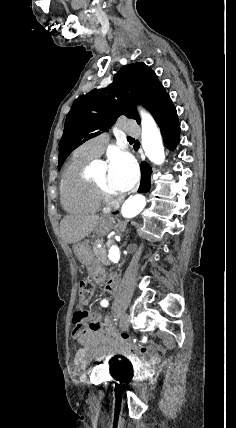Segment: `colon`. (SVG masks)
Segmentation results:
<instances>
[{
  "mask_svg": "<svg viewBox=\"0 0 236 428\" xmlns=\"http://www.w3.org/2000/svg\"><path fill=\"white\" fill-rule=\"evenodd\" d=\"M92 292H93L92 283L86 279L81 280L79 283V289H78L79 307L73 316L74 330L76 332H80L83 329L84 322L89 316L82 306L91 297ZM90 325L94 327L99 326L100 319L96 317V315H94Z\"/></svg>",
  "mask_w": 236,
  "mask_h": 428,
  "instance_id": "colon-1",
  "label": "colon"
}]
</instances>
